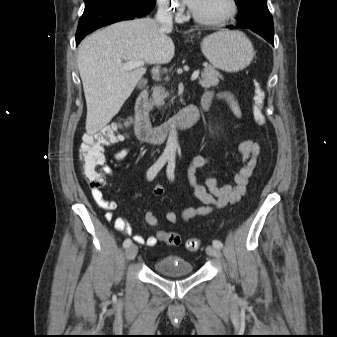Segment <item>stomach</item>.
<instances>
[{"instance_id": "obj_1", "label": "stomach", "mask_w": 337, "mask_h": 337, "mask_svg": "<svg viewBox=\"0 0 337 337\" xmlns=\"http://www.w3.org/2000/svg\"><path fill=\"white\" fill-rule=\"evenodd\" d=\"M202 52L212 66L229 73L243 70L254 57L250 40L240 31H220L205 37Z\"/></svg>"}]
</instances>
